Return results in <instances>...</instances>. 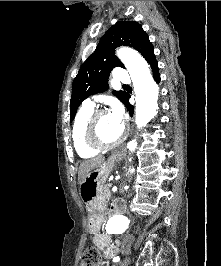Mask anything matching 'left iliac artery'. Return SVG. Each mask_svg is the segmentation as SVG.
<instances>
[{"mask_svg": "<svg viewBox=\"0 0 221 266\" xmlns=\"http://www.w3.org/2000/svg\"><path fill=\"white\" fill-rule=\"evenodd\" d=\"M119 260H120L119 256L114 257V259H113L114 262H118Z\"/></svg>", "mask_w": 221, "mask_h": 266, "instance_id": "left-iliac-artery-1", "label": "left iliac artery"}]
</instances>
